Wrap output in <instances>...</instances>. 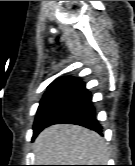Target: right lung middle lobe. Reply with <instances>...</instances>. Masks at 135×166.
I'll use <instances>...</instances> for the list:
<instances>
[{
  "label": "right lung middle lobe",
  "mask_w": 135,
  "mask_h": 166,
  "mask_svg": "<svg viewBox=\"0 0 135 166\" xmlns=\"http://www.w3.org/2000/svg\"><path fill=\"white\" fill-rule=\"evenodd\" d=\"M72 98L73 95L68 88L43 97L38 107L33 126V138L41 129L49 125L67 110Z\"/></svg>",
  "instance_id": "dd1d6c3e"
}]
</instances>
